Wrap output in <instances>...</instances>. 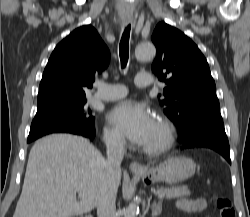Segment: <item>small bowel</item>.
<instances>
[{"instance_id": "1", "label": "small bowel", "mask_w": 250, "mask_h": 217, "mask_svg": "<svg viewBox=\"0 0 250 217\" xmlns=\"http://www.w3.org/2000/svg\"><path fill=\"white\" fill-rule=\"evenodd\" d=\"M177 207L187 213H200L207 207V202L203 198L196 199H180Z\"/></svg>"}]
</instances>
